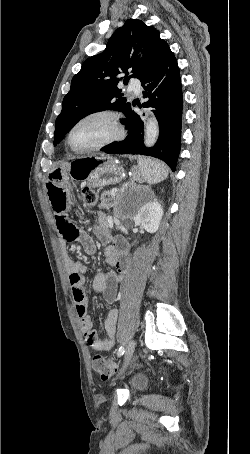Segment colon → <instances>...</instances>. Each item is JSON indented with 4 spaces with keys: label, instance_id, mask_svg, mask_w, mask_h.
<instances>
[{
    "label": "colon",
    "instance_id": "1",
    "mask_svg": "<svg viewBox=\"0 0 250 454\" xmlns=\"http://www.w3.org/2000/svg\"><path fill=\"white\" fill-rule=\"evenodd\" d=\"M82 200L86 205H94L97 201V193L92 188H85L82 191ZM95 372L102 380H107L117 370V364L101 355H95L92 360Z\"/></svg>",
    "mask_w": 250,
    "mask_h": 454
}]
</instances>
